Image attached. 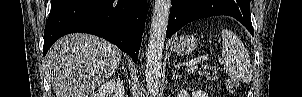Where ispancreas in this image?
Here are the masks:
<instances>
[{"instance_id": "cf45deb5", "label": "pancreas", "mask_w": 302, "mask_h": 97, "mask_svg": "<svg viewBox=\"0 0 302 97\" xmlns=\"http://www.w3.org/2000/svg\"><path fill=\"white\" fill-rule=\"evenodd\" d=\"M198 69H199V68H198L197 64H195V65H193V66H191V67L189 68V71H190L191 73H193V72L197 71Z\"/></svg>"}]
</instances>
